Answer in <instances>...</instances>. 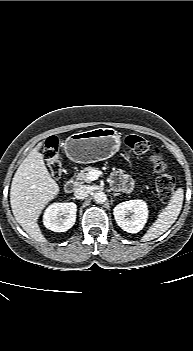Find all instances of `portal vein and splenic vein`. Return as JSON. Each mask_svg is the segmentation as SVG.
<instances>
[{
  "mask_svg": "<svg viewBox=\"0 0 193 351\" xmlns=\"http://www.w3.org/2000/svg\"><path fill=\"white\" fill-rule=\"evenodd\" d=\"M101 174H102V172L100 170H92L88 173L87 179L89 181L97 180Z\"/></svg>",
  "mask_w": 193,
  "mask_h": 351,
  "instance_id": "1",
  "label": "portal vein and splenic vein"
}]
</instances>
